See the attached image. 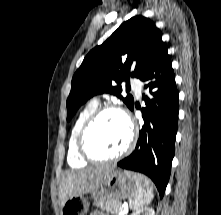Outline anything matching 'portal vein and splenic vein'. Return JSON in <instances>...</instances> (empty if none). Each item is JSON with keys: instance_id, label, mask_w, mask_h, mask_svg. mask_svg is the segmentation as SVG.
I'll return each instance as SVG.
<instances>
[{"instance_id": "portal-vein-and-splenic-vein-1", "label": "portal vein and splenic vein", "mask_w": 221, "mask_h": 215, "mask_svg": "<svg viewBox=\"0 0 221 215\" xmlns=\"http://www.w3.org/2000/svg\"><path fill=\"white\" fill-rule=\"evenodd\" d=\"M123 213H124V211H121V212L119 213V215H123Z\"/></svg>"}]
</instances>
